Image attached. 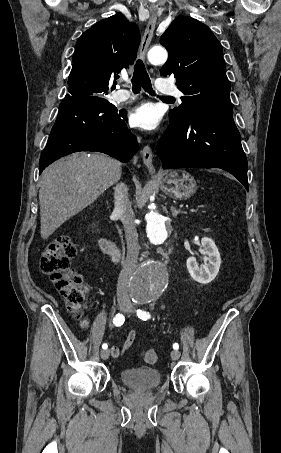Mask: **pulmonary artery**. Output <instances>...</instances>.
Returning <instances> with one entry per match:
<instances>
[{"label": "pulmonary artery", "mask_w": 281, "mask_h": 453, "mask_svg": "<svg viewBox=\"0 0 281 453\" xmlns=\"http://www.w3.org/2000/svg\"><path fill=\"white\" fill-rule=\"evenodd\" d=\"M168 94H172L178 99H180L183 95V93L179 90H173V91H168L166 92ZM131 97V92L127 89H118L117 91L114 92L112 99L115 102H124L127 101Z\"/></svg>", "instance_id": "1"}]
</instances>
